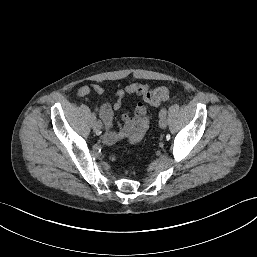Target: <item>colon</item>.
I'll return each mask as SVG.
<instances>
[{
    "label": "colon",
    "mask_w": 257,
    "mask_h": 257,
    "mask_svg": "<svg viewBox=\"0 0 257 257\" xmlns=\"http://www.w3.org/2000/svg\"><path fill=\"white\" fill-rule=\"evenodd\" d=\"M169 96V88L167 86H158L148 91L144 96V101L151 107H156L165 101Z\"/></svg>",
    "instance_id": "colon-1"
}]
</instances>
